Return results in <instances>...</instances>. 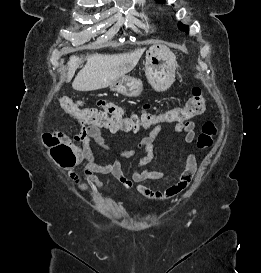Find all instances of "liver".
Listing matches in <instances>:
<instances>
[{
    "label": "liver",
    "mask_w": 261,
    "mask_h": 273,
    "mask_svg": "<svg viewBox=\"0 0 261 273\" xmlns=\"http://www.w3.org/2000/svg\"><path fill=\"white\" fill-rule=\"evenodd\" d=\"M144 49L120 54H91L85 57L86 65L79 71L72 87L76 91L86 92L111 86L114 81L130 72L138 63ZM83 56H71L68 65L67 82L75 74Z\"/></svg>",
    "instance_id": "1"
}]
</instances>
